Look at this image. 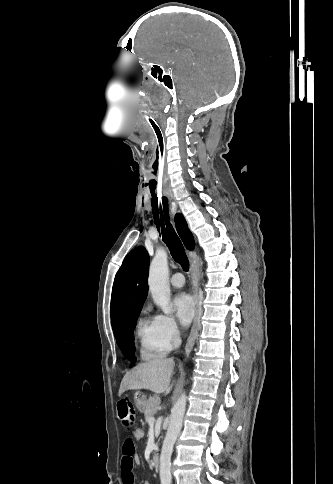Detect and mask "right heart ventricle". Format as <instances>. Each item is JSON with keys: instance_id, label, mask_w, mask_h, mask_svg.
Instances as JSON below:
<instances>
[{"instance_id": "e07e8e85", "label": "right heart ventricle", "mask_w": 333, "mask_h": 484, "mask_svg": "<svg viewBox=\"0 0 333 484\" xmlns=\"http://www.w3.org/2000/svg\"><path fill=\"white\" fill-rule=\"evenodd\" d=\"M136 334L139 340L140 355L145 360L162 357L167 350L163 347L154 318L142 316L137 322Z\"/></svg>"}]
</instances>
